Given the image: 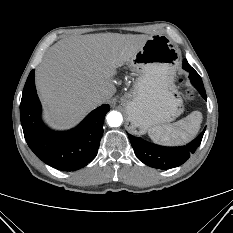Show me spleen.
<instances>
[{"label":"spleen","mask_w":233,"mask_h":233,"mask_svg":"<svg viewBox=\"0 0 233 233\" xmlns=\"http://www.w3.org/2000/svg\"><path fill=\"white\" fill-rule=\"evenodd\" d=\"M202 123V113L193 111L185 118L148 130V135L155 143L166 146H180L190 142L198 133Z\"/></svg>","instance_id":"3e777b00"}]
</instances>
